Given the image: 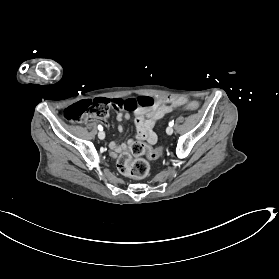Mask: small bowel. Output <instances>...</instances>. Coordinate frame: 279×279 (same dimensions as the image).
I'll list each match as a JSON object with an SVG mask.
<instances>
[{"label":"small bowel","mask_w":279,"mask_h":279,"mask_svg":"<svg viewBox=\"0 0 279 279\" xmlns=\"http://www.w3.org/2000/svg\"><path fill=\"white\" fill-rule=\"evenodd\" d=\"M155 106L150 109H137L134 112L135 116V125L137 134L136 137L138 140L147 141L149 144H154L156 142V134L153 131L155 123L161 119L166 114L170 113L177 107H180L185 103V100L182 98H173L167 96H159L156 99ZM130 114L127 112H119L117 114V120L122 121L123 119H129ZM108 126V124L106 123ZM118 131L122 132V125L118 126ZM133 141H129L128 144L111 142L110 148L112 150V155L116 156L121 151L127 149L128 145Z\"/></svg>","instance_id":"1"}]
</instances>
